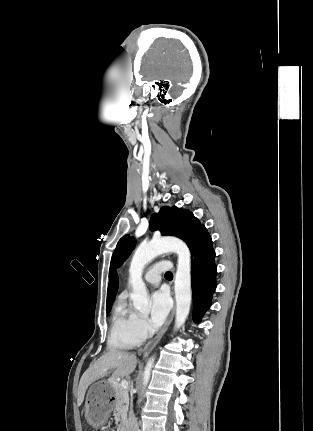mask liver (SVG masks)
I'll return each instance as SVG.
<instances>
[{
	"label": "liver",
	"mask_w": 313,
	"mask_h": 431,
	"mask_svg": "<svg viewBox=\"0 0 313 431\" xmlns=\"http://www.w3.org/2000/svg\"><path fill=\"white\" fill-rule=\"evenodd\" d=\"M135 354L111 350L101 356L84 372L78 387L77 404L83 403L86 390L94 381L103 378L109 371H113L112 380L129 376L136 368Z\"/></svg>",
	"instance_id": "obj_1"
}]
</instances>
